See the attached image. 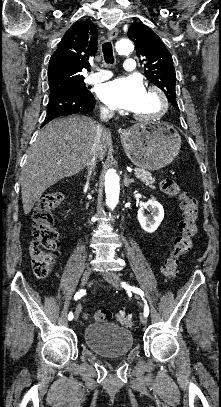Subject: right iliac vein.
Segmentation results:
<instances>
[{
    "instance_id": "obj_1",
    "label": "right iliac vein",
    "mask_w": 221,
    "mask_h": 407,
    "mask_svg": "<svg viewBox=\"0 0 221 407\" xmlns=\"http://www.w3.org/2000/svg\"><path fill=\"white\" fill-rule=\"evenodd\" d=\"M91 273H92V269H91L90 267H87V268L85 269V271H84V273H83V276H82V279H81V285H82V286H85V285L87 284L88 279H89ZM80 310H81V309H80L79 307L76 308V310H75V320L78 319Z\"/></svg>"
}]
</instances>
